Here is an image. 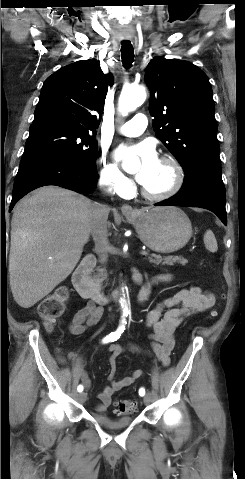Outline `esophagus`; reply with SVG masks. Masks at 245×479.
I'll use <instances>...</instances> for the list:
<instances>
[{"label":"esophagus","instance_id":"1","mask_svg":"<svg viewBox=\"0 0 245 479\" xmlns=\"http://www.w3.org/2000/svg\"><path fill=\"white\" fill-rule=\"evenodd\" d=\"M121 211L123 214H126V215L134 214V210L129 204H123L121 207Z\"/></svg>","mask_w":245,"mask_h":479}]
</instances>
